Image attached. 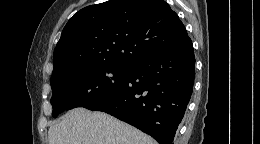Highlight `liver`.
<instances>
[{
    "label": "liver",
    "instance_id": "obj_1",
    "mask_svg": "<svg viewBox=\"0 0 260 144\" xmlns=\"http://www.w3.org/2000/svg\"><path fill=\"white\" fill-rule=\"evenodd\" d=\"M49 144H156L138 129L102 112L75 108L48 131Z\"/></svg>",
    "mask_w": 260,
    "mask_h": 144
}]
</instances>
